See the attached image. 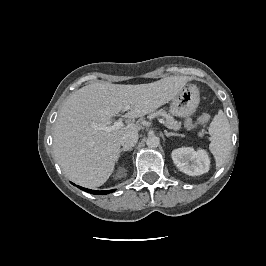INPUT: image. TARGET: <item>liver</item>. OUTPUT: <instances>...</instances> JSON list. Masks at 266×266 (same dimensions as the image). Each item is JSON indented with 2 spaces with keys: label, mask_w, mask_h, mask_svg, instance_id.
Here are the masks:
<instances>
[{
  "label": "liver",
  "mask_w": 266,
  "mask_h": 266,
  "mask_svg": "<svg viewBox=\"0 0 266 266\" xmlns=\"http://www.w3.org/2000/svg\"><path fill=\"white\" fill-rule=\"evenodd\" d=\"M191 78L165 77L153 83L121 85L99 82L73 93L62 106L55 122L53 152L64 174L89 188L103 185L120 156V140L127 132H138L134 123L107 132L114 116L130 106L125 115L135 119L168 103Z\"/></svg>",
  "instance_id": "6515ba94"
}]
</instances>
